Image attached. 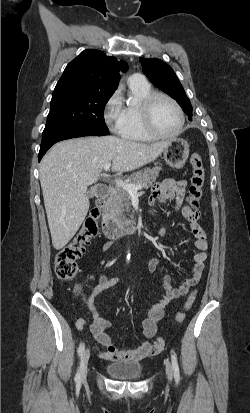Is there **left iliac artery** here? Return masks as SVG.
<instances>
[{"label": "left iliac artery", "instance_id": "1", "mask_svg": "<svg viewBox=\"0 0 250 413\" xmlns=\"http://www.w3.org/2000/svg\"><path fill=\"white\" fill-rule=\"evenodd\" d=\"M171 361H172V366L174 370V378L176 381H179L180 379L179 366H178L177 357L175 354L171 355Z\"/></svg>", "mask_w": 250, "mask_h": 413}]
</instances>
